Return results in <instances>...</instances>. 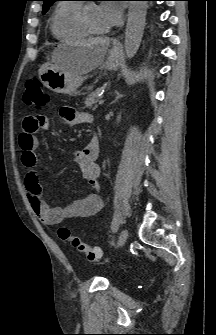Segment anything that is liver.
Wrapping results in <instances>:
<instances>
[{
    "label": "liver",
    "instance_id": "1",
    "mask_svg": "<svg viewBox=\"0 0 216 335\" xmlns=\"http://www.w3.org/2000/svg\"><path fill=\"white\" fill-rule=\"evenodd\" d=\"M77 52L67 61L64 69L76 75L87 74L100 66L109 47V39L95 38L76 44Z\"/></svg>",
    "mask_w": 216,
    "mask_h": 335
}]
</instances>
